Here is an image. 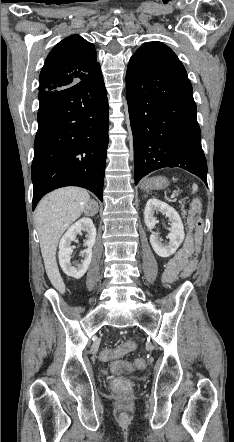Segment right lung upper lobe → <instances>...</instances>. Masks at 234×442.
I'll use <instances>...</instances> for the list:
<instances>
[{
  "mask_svg": "<svg viewBox=\"0 0 234 442\" xmlns=\"http://www.w3.org/2000/svg\"><path fill=\"white\" fill-rule=\"evenodd\" d=\"M92 43L79 35L59 42L49 53L39 77V90L68 88L100 68Z\"/></svg>",
  "mask_w": 234,
  "mask_h": 442,
  "instance_id": "right-lung-upper-lobe-1",
  "label": "right lung upper lobe"
}]
</instances>
